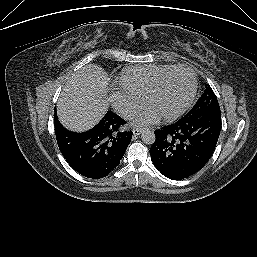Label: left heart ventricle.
Masks as SVG:
<instances>
[{
  "label": "left heart ventricle",
  "mask_w": 257,
  "mask_h": 257,
  "mask_svg": "<svg viewBox=\"0 0 257 257\" xmlns=\"http://www.w3.org/2000/svg\"><path fill=\"white\" fill-rule=\"evenodd\" d=\"M192 84L191 74L186 70L171 73L149 102V107L159 115L176 110L187 98Z\"/></svg>",
  "instance_id": "left-heart-ventricle-1"
}]
</instances>
